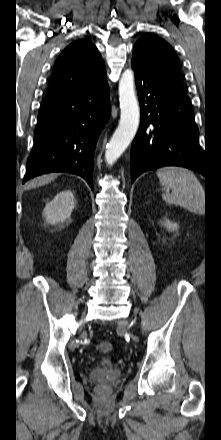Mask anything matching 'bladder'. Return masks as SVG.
Instances as JSON below:
<instances>
[{
	"label": "bladder",
	"instance_id": "bladder-1",
	"mask_svg": "<svg viewBox=\"0 0 221 440\" xmlns=\"http://www.w3.org/2000/svg\"><path fill=\"white\" fill-rule=\"evenodd\" d=\"M101 363H102V365H109V364H111V360L106 358V359H103Z\"/></svg>",
	"mask_w": 221,
	"mask_h": 440
}]
</instances>
